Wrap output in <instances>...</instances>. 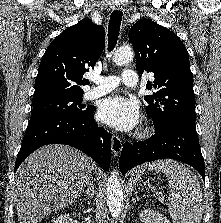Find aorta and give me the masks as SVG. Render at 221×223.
Segmentation results:
<instances>
[{
	"label": "aorta",
	"instance_id": "obj_1",
	"mask_svg": "<svg viewBox=\"0 0 221 223\" xmlns=\"http://www.w3.org/2000/svg\"><path fill=\"white\" fill-rule=\"evenodd\" d=\"M134 54L130 49H118L113 54L116 65H126L133 61ZM107 204L111 215L117 218L123 206V191L120 178L116 171H112L107 181Z\"/></svg>",
	"mask_w": 221,
	"mask_h": 223
}]
</instances>
